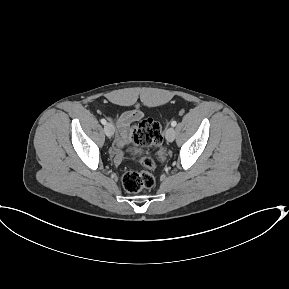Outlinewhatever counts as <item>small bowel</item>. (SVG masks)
<instances>
[{
    "instance_id": "small-bowel-1",
    "label": "small bowel",
    "mask_w": 289,
    "mask_h": 289,
    "mask_svg": "<svg viewBox=\"0 0 289 289\" xmlns=\"http://www.w3.org/2000/svg\"><path fill=\"white\" fill-rule=\"evenodd\" d=\"M142 116L143 113L140 110L134 109L126 111L114 119L119 132L117 139V147L119 149L124 148L131 137V123L141 119Z\"/></svg>"
}]
</instances>
